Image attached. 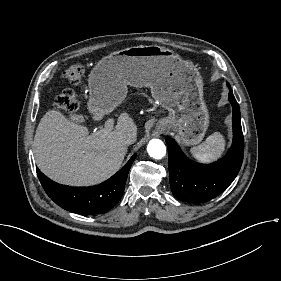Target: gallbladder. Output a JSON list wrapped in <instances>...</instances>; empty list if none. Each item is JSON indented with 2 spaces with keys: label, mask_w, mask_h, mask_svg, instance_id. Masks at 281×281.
<instances>
[{
  "label": "gallbladder",
  "mask_w": 281,
  "mask_h": 281,
  "mask_svg": "<svg viewBox=\"0 0 281 281\" xmlns=\"http://www.w3.org/2000/svg\"><path fill=\"white\" fill-rule=\"evenodd\" d=\"M71 119L75 121V120H76V116H75V115H72V116H71Z\"/></svg>",
  "instance_id": "1"
}]
</instances>
